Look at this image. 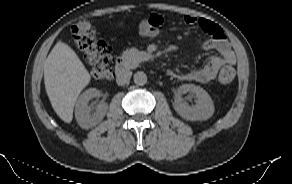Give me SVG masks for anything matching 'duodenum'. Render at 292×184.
Here are the masks:
<instances>
[{
  "mask_svg": "<svg viewBox=\"0 0 292 184\" xmlns=\"http://www.w3.org/2000/svg\"><path fill=\"white\" fill-rule=\"evenodd\" d=\"M115 69H116L117 76L119 78H123L125 76L126 65H125V62L122 58L118 57L116 59Z\"/></svg>",
  "mask_w": 292,
  "mask_h": 184,
  "instance_id": "1",
  "label": "duodenum"
}]
</instances>
